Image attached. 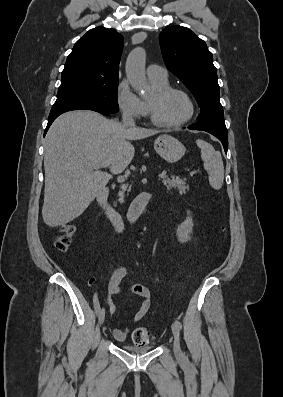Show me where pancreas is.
<instances>
[{
	"label": "pancreas",
	"mask_w": 283,
	"mask_h": 397,
	"mask_svg": "<svg viewBox=\"0 0 283 397\" xmlns=\"http://www.w3.org/2000/svg\"><path fill=\"white\" fill-rule=\"evenodd\" d=\"M162 183L167 187L168 190L174 188V189H178L181 192H186L189 191V186L186 185V180L182 179L180 177H172V178H164L162 180ZM126 185L123 184L122 185V190L119 192V197H120V201H123V196H124V192L126 191Z\"/></svg>",
	"instance_id": "1"
}]
</instances>
